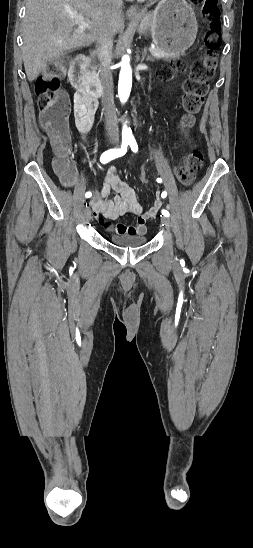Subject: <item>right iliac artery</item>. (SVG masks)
Returning a JSON list of instances; mask_svg holds the SVG:
<instances>
[{"mask_svg": "<svg viewBox=\"0 0 253 548\" xmlns=\"http://www.w3.org/2000/svg\"><path fill=\"white\" fill-rule=\"evenodd\" d=\"M128 144H129V142L124 141V142H122L121 148H118V149L114 148V149H109V150L105 151L100 157V162L102 164H106V163H108L109 161H111L115 158L123 156L127 152ZM91 196H92L91 192H87L85 194L86 198H89Z\"/></svg>", "mask_w": 253, "mask_h": 548, "instance_id": "right-iliac-artery-1", "label": "right iliac artery"}]
</instances>
